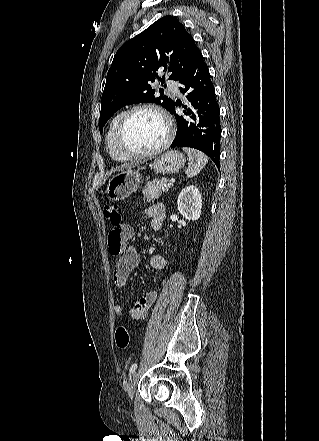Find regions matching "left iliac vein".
<instances>
[{"label":"left iliac vein","mask_w":319,"mask_h":441,"mask_svg":"<svg viewBox=\"0 0 319 441\" xmlns=\"http://www.w3.org/2000/svg\"><path fill=\"white\" fill-rule=\"evenodd\" d=\"M137 379H138L137 373L133 372L126 386L127 393L131 399L134 397Z\"/></svg>","instance_id":"obj_1"}]
</instances>
